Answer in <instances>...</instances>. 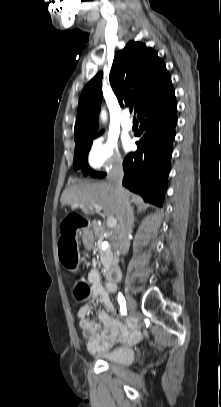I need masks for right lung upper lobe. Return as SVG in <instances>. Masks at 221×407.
Here are the masks:
<instances>
[{
  "label": "right lung upper lobe",
  "mask_w": 221,
  "mask_h": 407,
  "mask_svg": "<svg viewBox=\"0 0 221 407\" xmlns=\"http://www.w3.org/2000/svg\"><path fill=\"white\" fill-rule=\"evenodd\" d=\"M102 77L103 73H98L82 91L74 128L75 144L96 136ZM109 80L119 104H133L137 113L172 86L170 74L157 53L134 41L116 53Z\"/></svg>",
  "instance_id": "obj_1"
}]
</instances>
